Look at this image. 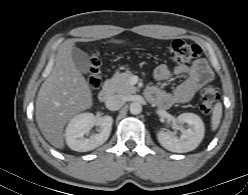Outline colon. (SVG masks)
I'll list each match as a JSON object with an SVG mask.
<instances>
[{
  "label": "colon",
  "instance_id": "5ec220e1",
  "mask_svg": "<svg viewBox=\"0 0 248 195\" xmlns=\"http://www.w3.org/2000/svg\"><path fill=\"white\" fill-rule=\"evenodd\" d=\"M168 56L171 61L179 64L187 63L201 54L197 44L188 43L181 39L172 41L167 47ZM101 59L94 53L89 61L88 83L92 89H97L101 83ZM219 97V90L213 85H205L200 91L199 108L205 115L211 113L214 104Z\"/></svg>",
  "mask_w": 248,
  "mask_h": 195
}]
</instances>
